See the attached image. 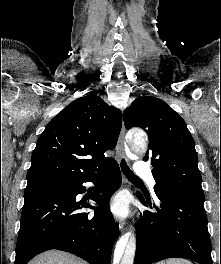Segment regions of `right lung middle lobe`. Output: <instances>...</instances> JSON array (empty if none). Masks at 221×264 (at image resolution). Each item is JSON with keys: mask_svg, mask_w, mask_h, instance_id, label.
<instances>
[{"mask_svg": "<svg viewBox=\"0 0 221 264\" xmlns=\"http://www.w3.org/2000/svg\"><path fill=\"white\" fill-rule=\"evenodd\" d=\"M56 183H51V184H47V185H44V186H42V187H50V186H52V185H55ZM39 188H41V187H39ZM35 189H38V188H35ZM33 190V189H32ZM25 191H27V190H25Z\"/></svg>", "mask_w": 221, "mask_h": 264, "instance_id": "dd1d6c3e", "label": "right lung middle lobe"}]
</instances>
